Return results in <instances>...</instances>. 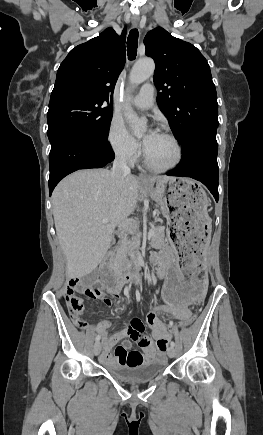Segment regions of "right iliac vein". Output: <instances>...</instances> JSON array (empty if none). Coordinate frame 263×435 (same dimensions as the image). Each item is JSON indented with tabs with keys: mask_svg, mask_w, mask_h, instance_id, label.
<instances>
[{
	"mask_svg": "<svg viewBox=\"0 0 263 435\" xmlns=\"http://www.w3.org/2000/svg\"><path fill=\"white\" fill-rule=\"evenodd\" d=\"M93 351H94V354H95L96 356L100 354V351H101V344H100L99 341H97V342L94 344Z\"/></svg>",
	"mask_w": 263,
	"mask_h": 435,
	"instance_id": "1",
	"label": "right iliac vein"
}]
</instances>
